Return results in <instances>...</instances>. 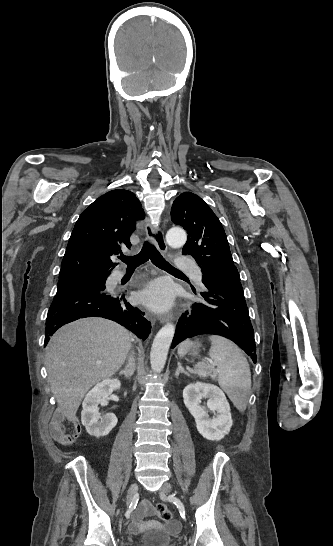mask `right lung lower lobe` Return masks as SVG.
I'll use <instances>...</instances> for the list:
<instances>
[{
    "mask_svg": "<svg viewBox=\"0 0 333 546\" xmlns=\"http://www.w3.org/2000/svg\"><path fill=\"white\" fill-rule=\"evenodd\" d=\"M126 293L109 295L104 290L80 289L57 293L47 314L45 344L61 326L85 317H103L116 321L145 340L151 323L144 312L126 301Z\"/></svg>",
    "mask_w": 333,
    "mask_h": 546,
    "instance_id": "obj_1",
    "label": "right lung lower lobe"
}]
</instances>
